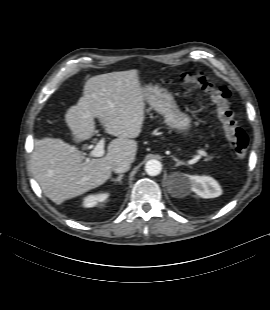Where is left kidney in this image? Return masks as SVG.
Returning a JSON list of instances; mask_svg holds the SVG:
<instances>
[{
    "label": "left kidney",
    "instance_id": "obj_1",
    "mask_svg": "<svg viewBox=\"0 0 270 310\" xmlns=\"http://www.w3.org/2000/svg\"><path fill=\"white\" fill-rule=\"evenodd\" d=\"M183 183L180 193L191 190L202 198H215L222 194L220 185L210 176L184 175Z\"/></svg>",
    "mask_w": 270,
    "mask_h": 310
}]
</instances>
